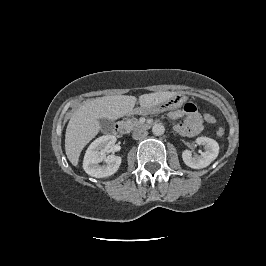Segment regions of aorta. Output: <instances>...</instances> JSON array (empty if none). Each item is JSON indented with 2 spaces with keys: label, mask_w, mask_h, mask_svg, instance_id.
I'll return each mask as SVG.
<instances>
[{
  "label": "aorta",
  "mask_w": 266,
  "mask_h": 266,
  "mask_svg": "<svg viewBox=\"0 0 266 266\" xmlns=\"http://www.w3.org/2000/svg\"><path fill=\"white\" fill-rule=\"evenodd\" d=\"M152 132L155 136H161L165 132V127L161 123L155 124L152 128Z\"/></svg>",
  "instance_id": "aorta-1"
}]
</instances>
